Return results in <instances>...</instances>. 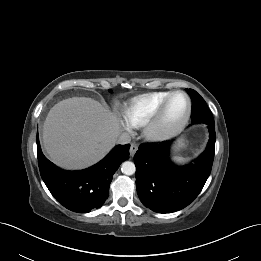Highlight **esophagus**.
Wrapping results in <instances>:
<instances>
[{
	"instance_id": "34e87169",
	"label": "esophagus",
	"mask_w": 261,
	"mask_h": 261,
	"mask_svg": "<svg viewBox=\"0 0 261 261\" xmlns=\"http://www.w3.org/2000/svg\"><path fill=\"white\" fill-rule=\"evenodd\" d=\"M138 149V146L136 143H132L131 146H130V155L131 156H134V154L136 153Z\"/></svg>"
}]
</instances>
